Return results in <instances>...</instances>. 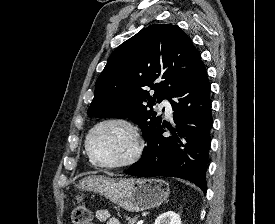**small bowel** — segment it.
Segmentation results:
<instances>
[{"mask_svg": "<svg viewBox=\"0 0 275 224\" xmlns=\"http://www.w3.org/2000/svg\"><path fill=\"white\" fill-rule=\"evenodd\" d=\"M96 217L103 224H121L118 218L111 217L106 210L97 211Z\"/></svg>", "mask_w": 275, "mask_h": 224, "instance_id": "small-bowel-1", "label": "small bowel"}]
</instances>
